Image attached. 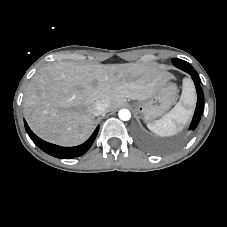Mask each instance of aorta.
<instances>
[{"label": "aorta", "mask_w": 227, "mask_h": 227, "mask_svg": "<svg viewBox=\"0 0 227 227\" xmlns=\"http://www.w3.org/2000/svg\"><path fill=\"white\" fill-rule=\"evenodd\" d=\"M118 116L123 121H128L131 118V113L128 109H121L118 112Z\"/></svg>", "instance_id": "obj_1"}]
</instances>
